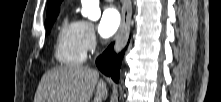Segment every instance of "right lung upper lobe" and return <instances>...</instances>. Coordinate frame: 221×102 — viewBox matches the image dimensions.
<instances>
[{"mask_svg": "<svg viewBox=\"0 0 221 102\" xmlns=\"http://www.w3.org/2000/svg\"><path fill=\"white\" fill-rule=\"evenodd\" d=\"M62 0H48L47 17L59 11L58 7Z\"/></svg>", "mask_w": 221, "mask_h": 102, "instance_id": "cb5924a9", "label": "right lung upper lobe"}]
</instances>
